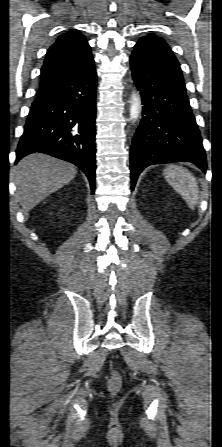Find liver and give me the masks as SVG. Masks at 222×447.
<instances>
[{"mask_svg":"<svg viewBox=\"0 0 222 447\" xmlns=\"http://www.w3.org/2000/svg\"><path fill=\"white\" fill-rule=\"evenodd\" d=\"M76 167L68 162L35 153L24 157L15 167V196L25 212H29L50 194L69 183Z\"/></svg>","mask_w":222,"mask_h":447,"instance_id":"1","label":"liver"}]
</instances>
